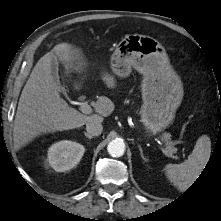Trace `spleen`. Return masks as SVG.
<instances>
[{
    "label": "spleen",
    "instance_id": "obj_1",
    "mask_svg": "<svg viewBox=\"0 0 221 221\" xmlns=\"http://www.w3.org/2000/svg\"><path fill=\"white\" fill-rule=\"evenodd\" d=\"M211 154V141L207 135L198 138L188 160L181 164L166 165V174L171 182L179 189L185 190L204 169Z\"/></svg>",
    "mask_w": 221,
    "mask_h": 221
}]
</instances>
